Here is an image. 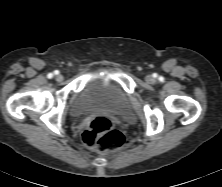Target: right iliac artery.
Returning <instances> with one entry per match:
<instances>
[{
    "label": "right iliac artery",
    "instance_id": "obj_1",
    "mask_svg": "<svg viewBox=\"0 0 222 187\" xmlns=\"http://www.w3.org/2000/svg\"><path fill=\"white\" fill-rule=\"evenodd\" d=\"M58 73H59L58 71H55V74H58ZM47 77L50 79V78L53 77V74H52V73H49V74L47 75Z\"/></svg>",
    "mask_w": 222,
    "mask_h": 187
}]
</instances>
